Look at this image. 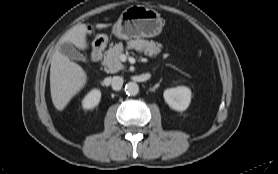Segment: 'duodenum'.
<instances>
[{
  "label": "duodenum",
  "mask_w": 278,
  "mask_h": 174,
  "mask_svg": "<svg viewBox=\"0 0 278 174\" xmlns=\"http://www.w3.org/2000/svg\"><path fill=\"white\" fill-rule=\"evenodd\" d=\"M104 47H105V41L102 38H96L93 43V48L91 52V59L94 62H97L101 59Z\"/></svg>",
  "instance_id": "obj_1"
}]
</instances>
